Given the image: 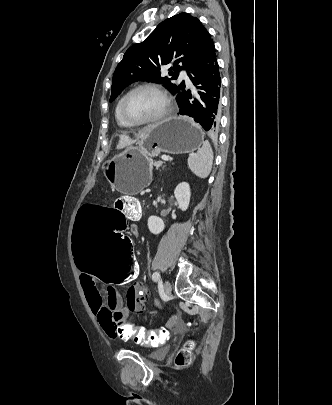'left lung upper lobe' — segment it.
<instances>
[{
	"mask_svg": "<svg viewBox=\"0 0 332 405\" xmlns=\"http://www.w3.org/2000/svg\"><path fill=\"white\" fill-rule=\"evenodd\" d=\"M213 44L198 18L183 12L166 19L143 42L126 51L113 75L110 101L136 81L164 83L178 98L186 91L184 81L172 84L161 76V67L170 66L169 75L176 79L180 69L191 71Z\"/></svg>",
	"mask_w": 332,
	"mask_h": 405,
	"instance_id": "5c2ea615",
	"label": "left lung upper lobe"
}]
</instances>
